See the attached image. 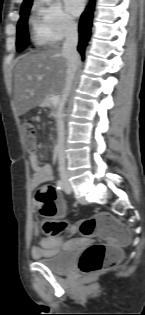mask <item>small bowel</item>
<instances>
[{"mask_svg":"<svg viewBox=\"0 0 145 315\" xmlns=\"http://www.w3.org/2000/svg\"><path fill=\"white\" fill-rule=\"evenodd\" d=\"M29 163L33 170L31 178V185L37 186L42 182L52 179V167L50 164L41 165L38 155L35 152L29 154ZM38 228H35L34 233L38 234ZM61 246L58 234H52L40 241L39 244L34 245L31 249V254L35 259L52 257L55 255Z\"/></svg>","mask_w":145,"mask_h":315,"instance_id":"1","label":"small bowel"}]
</instances>
